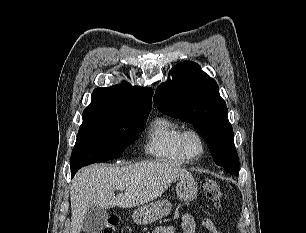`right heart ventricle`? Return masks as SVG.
I'll return each mask as SVG.
<instances>
[{"instance_id": "1", "label": "right heart ventricle", "mask_w": 306, "mask_h": 233, "mask_svg": "<svg viewBox=\"0 0 306 233\" xmlns=\"http://www.w3.org/2000/svg\"><path fill=\"white\" fill-rule=\"evenodd\" d=\"M183 126L167 117L156 119L148 134L146 151L148 154L175 164H183L185 158L180 149Z\"/></svg>"}]
</instances>
